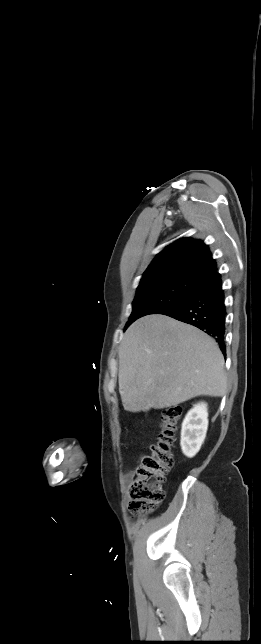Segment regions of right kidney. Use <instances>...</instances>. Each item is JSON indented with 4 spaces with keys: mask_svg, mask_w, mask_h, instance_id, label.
<instances>
[{
    "mask_svg": "<svg viewBox=\"0 0 261 644\" xmlns=\"http://www.w3.org/2000/svg\"><path fill=\"white\" fill-rule=\"evenodd\" d=\"M208 428L206 403H198L187 413L181 429V449L185 456L193 457L200 450Z\"/></svg>",
    "mask_w": 261,
    "mask_h": 644,
    "instance_id": "ca27d5eb",
    "label": "right kidney"
}]
</instances>
